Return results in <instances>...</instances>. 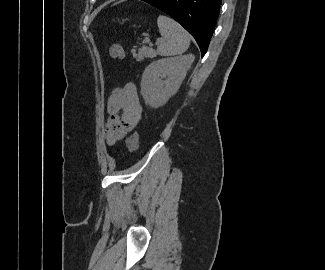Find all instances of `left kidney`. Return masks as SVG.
Instances as JSON below:
<instances>
[{
  "label": "left kidney",
  "instance_id": "obj_1",
  "mask_svg": "<svg viewBox=\"0 0 325 270\" xmlns=\"http://www.w3.org/2000/svg\"><path fill=\"white\" fill-rule=\"evenodd\" d=\"M193 61L194 55L188 54L160 59L147 66L141 80L145 104L152 108L163 106L177 93Z\"/></svg>",
  "mask_w": 325,
  "mask_h": 270
}]
</instances>
